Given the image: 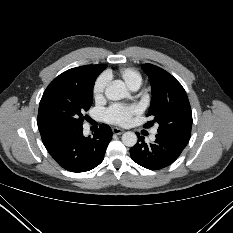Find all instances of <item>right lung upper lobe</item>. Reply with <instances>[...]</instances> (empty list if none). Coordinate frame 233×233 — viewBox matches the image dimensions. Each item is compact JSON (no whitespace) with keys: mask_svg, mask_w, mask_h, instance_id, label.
I'll use <instances>...</instances> for the list:
<instances>
[{"mask_svg":"<svg viewBox=\"0 0 233 233\" xmlns=\"http://www.w3.org/2000/svg\"><path fill=\"white\" fill-rule=\"evenodd\" d=\"M106 68V65L97 64V65H85L81 67H76L69 69L62 74H60L58 77H56L49 86H53L59 83H68V82H77L80 79H83L87 77L88 75L92 73H98L102 72ZM48 134H41V137H44Z\"/></svg>","mask_w":233,"mask_h":233,"instance_id":"obj_1","label":"right lung upper lobe"}]
</instances>
